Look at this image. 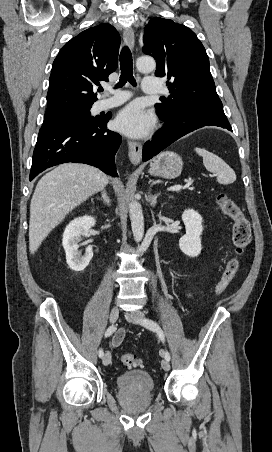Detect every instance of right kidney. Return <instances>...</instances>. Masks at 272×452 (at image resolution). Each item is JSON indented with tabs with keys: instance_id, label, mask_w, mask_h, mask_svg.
Listing matches in <instances>:
<instances>
[{
	"instance_id": "ca27d5eb",
	"label": "right kidney",
	"mask_w": 272,
	"mask_h": 452,
	"mask_svg": "<svg viewBox=\"0 0 272 452\" xmlns=\"http://www.w3.org/2000/svg\"><path fill=\"white\" fill-rule=\"evenodd\" d=\"M95 223L96 220L94 217L85 215L74 219L65 228L62 244L65 250L67 264L73 271H83L93 257L92 246H88L85 254L82 256L78 250V243L82 240L81 236H89L88 232Z\"/></svg>"
}]
</instances>
